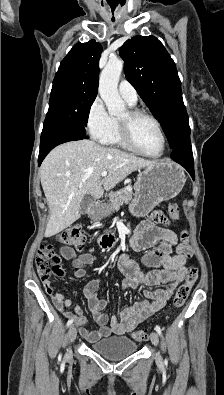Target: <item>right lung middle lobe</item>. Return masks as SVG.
I'll list each match as a JSON object with an SVG mask.
<instances>
[{"mask_svg":"<svg viewBox=\"0 0 224 395\" xmlns=\"http://www.w3.org/2000/svg\"><path fill=\"white\" fill-rule=\"evenodd\" d=\"M97 91L53 81L47 119L65 121L86 132L91 105Z\"/></svg>","mask_w":224,"mask_h":395,"instance_id":"1","label":"right lung middle lobe"}]
</instances>
